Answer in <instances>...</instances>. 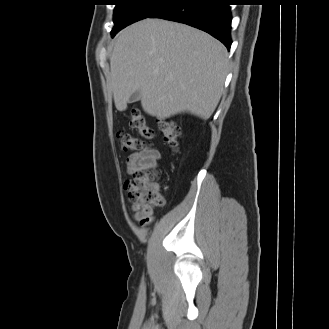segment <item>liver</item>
I'll return each mask as SVG.
<instances>
[{"instance_id": "obj_1", "label": "liver", "mask_w": 329, "mask_h": 329, "mask_svg": "<svg viewBox=\"0 0 329 329\" xmlns=\"http://www.w3.org/2000/svg\"><path fill=\"white\" fill-rule=\"evenodd\" d=\"M227 65V49L209 34L148 18L116 36L109 86L118 111L140 90L142 108L151 116L189 112L208 119L220 101Z\"/></svg>"}]
</instances>
